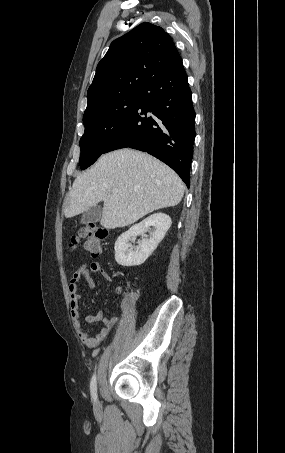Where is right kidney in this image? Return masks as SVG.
<instances>
[{
	"instance_id": "obj_1",
	"label": "right kidney",
	"mask_w": 285,
	"mask_h": 453,
	"mask_svg": "<svg viewBox=\"0 0 285 453\" xmlns=\"http://www.w3.org/2000/svg\"><path fill=\"white\" fill-rule=\"evenodd\" d=\"M171 226V218L164 213H155L138 224L133 225L128 231L122 233L115 242V260L122 266H138L143 264L157 248ZM153 227L149 238H144L137 247L133 241L138 235L145 234Z\"/></svg>"
}]
</instances>
